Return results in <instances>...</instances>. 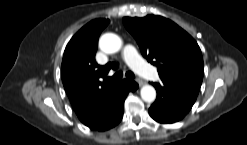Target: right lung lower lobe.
<instances>
[{
  "instance_id": "1",
  "label": "right lung lower lobe",
  "mask_w": 247,
  "mask_h": 145,
  "mask_svg": "<svg viewBox=\"0 0 247 145\" xmlns=\"http://www.w3.org/2000/svg\"><path fill=\"white\" fill-rule=\"evenodd\" d=\"M137 88L138 84L136 82L122 80L106 105L95 111L82 123L97 131H105L116 126L123 116L125 98L129 92H134Z\"/></svg>"
}]
</instances>
